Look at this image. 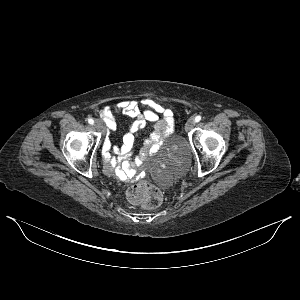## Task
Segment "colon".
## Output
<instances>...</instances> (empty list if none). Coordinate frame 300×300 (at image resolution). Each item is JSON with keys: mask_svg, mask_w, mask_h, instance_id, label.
<instances>
[{"mask_svg": "<svg viewBox=\"0 0 300 300\" xmlns=\"http://www.w3.org/2000/svg\"><path fill=\"white\" fill-rule=\"evenodd\" d=\"M127 198L133 204L142 205L146 209H156L162 204L161 192L147 182H139L127 191Z\"/></svg>", "mask_w": 300, "mask_h": 300, "instance_id": "5ec220e1", "label": "colon"}]
</instances>
